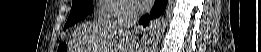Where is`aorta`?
Wrapping results in <instances>:
<instances>
[{"instance_id":"1","label":"aorta","mask_w":261,"mask_h":52,"mask_svg":"<svg viewBox=\"0 0 261 52\" xmlns=\"http://www.w3.org/2000/svg\"><path fill=\"white\" fill-rule=\"evenodd\" d=\"M166 25V19H160L153 23L143 34L145 39V52L156 49L158 41L162 36Z\"/></svg>"}]
</instances>
